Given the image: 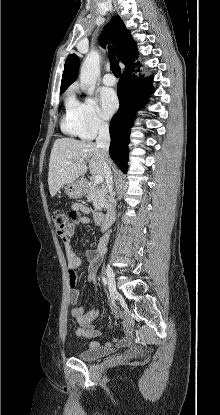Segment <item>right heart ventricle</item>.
Segmentation results:
<instances>
[{
    "instance_id": "e07e8e85",
    "label": "right heart ventricle",
    "mask_w": 220,
    "mask_h": 415,
    "mask_svg": "<svg viewBox=\"0 0 220 415\" xmlns=\"http://www.w3.org/2000/svg\"><path fill=\"white\" fill-rule=\"evenodd\" d=\"M77 103L75 96L69 93L65 99V113L61 121V129L68 135L82 137Z\"/></svg>"
}]
</instances>
